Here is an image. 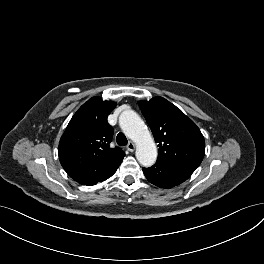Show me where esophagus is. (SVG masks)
I'll return each instance as SVG.
<instances>
[{
    "mask_svg": "<svg viewBox=\"0 0 264 264\" xmlns=\"http://www.w3.org/2000/svg\"><path fill=\"white\" fill-rule=\"evenodd\" d=\"M127 150L130 151V152H133L135 150V144L133 142H129L127 144Z\"/></svg>",
    "mask_w": 264,
    "mask_h": 264,
    "instance_id": "1",
    "label": "esophagus"
}]
</instances>
